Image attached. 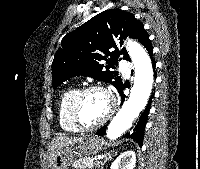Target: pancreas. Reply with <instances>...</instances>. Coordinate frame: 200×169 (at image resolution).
Listing matches in <instances>:
<instances>
[{
  "label": "pancreas",
  "mask_w": 200,
  "mask_h": 169,
  "mask_svg": "<svg viewBox=\"0 0 200 169\" xmlns=\"http://www.w3.org/2000/svg\"><path fill=\"white\" fill-rule=\"evenodd\" d=\"M98 165L99 164L97 162L87 161L83 159V160H76L72 166L74 169H93L94 166Z\"/></svg>",
  "instance_id": "1"
}]
</instances>
